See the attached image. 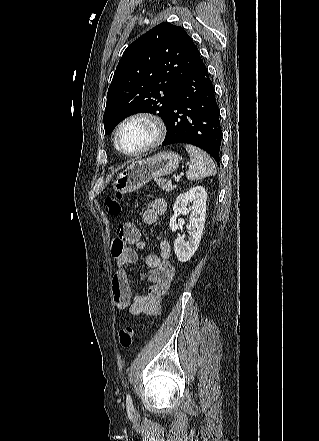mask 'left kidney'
<instances>
[{
	"label": "left kidney",
	"instance_id": "5707ae66",
	"mask_svg": "<svg viewBox=\"0 0 319 441\" xmlns=\"http://www.w3.org/2000/svg\"><path fill=\"white\" fill-rule=\"evenodd\" d=\"M206 200L207 193L202 186H196L176 198L173 206L174 214L169 223L172 232H176L179 224H184V222L177 223V217L187 209L190 202H193V205L189 207L191 213L189 223L186 226L189 230L188 240L185 241L184 236H179L174 242V251L180 262L190 260L199 247L205 223Z\"/></svg>",
	"mask_w": 319,
	"mask_h": 441
}]
</instances>
